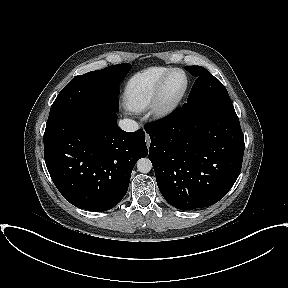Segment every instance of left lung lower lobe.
Instances as JSON below:
<instances>
[{
	"label": "left lung lower lobe",
	"mask_w": 288,
	"mask_h": 288,
	"mask_svg": "<svg viewBox=\"0 0 288 288\" xmlns=\"http://www.w3.org/2000/svg\"><path fill=\"white\" fill-rule=\"evenodd\" d=\"M145 131L159 190L177 209L215 204L240 174L245 145L237 115L183 105Z\"/></svg>",
	"instance_id": "left-lung-lower-lobe-1"
}]
</instances>
